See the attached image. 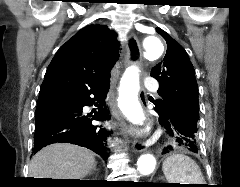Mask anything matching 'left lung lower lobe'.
I'll return each mask as SVG.
<instances>
[{
  "mask_svg": "<svg viewBox=\"0 0 240 187\" xmlns=\"http://www.w3.org/2000/svg\"><path fill=\"white\" fill-rule=\"evenodd\" d=\"M160 123L168 130L170 136L174 137L177 146L185 147L194 153L198 152L197 123L198 120L190 113L173 106L158 108ZM173 149L172 146L164 148L163 153Z\"/></svg>",
  "mask_w": 240,
  "mask_h": 187,
  "instance_id": "obj_1",
  "label": "left lung lower lobe"
}]
</instances>
